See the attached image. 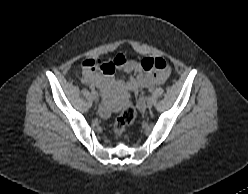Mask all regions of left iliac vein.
I'll use <instances>...</instances> for the list:
<instances>
[{"label": "left iliac vein", "instance_id": "left-iliac-vein-1", "mask_svg": "<svg viewBox=\"0 0 248 194\" xmlns=\"http://www.w3.org/2000/svg\"><path fill=\"white\" fill-rule=\"evenodd\" d=\"M154 102H155V100H154L153 97H148L147 98V106H148V108H151L154 105Z\"/></svg>", "mask_w": 248, "mask_h": 194}]
</instances>
